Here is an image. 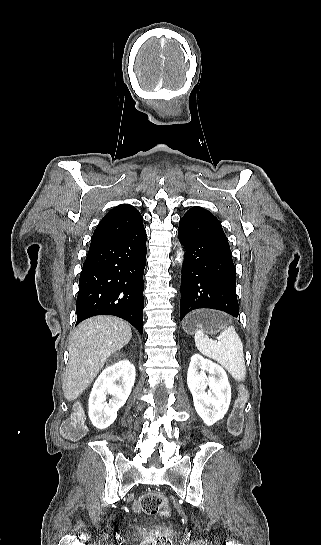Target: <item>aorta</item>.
Masks as SVG:
<instances>
[{"label":"aorta","instance_id":"aorta-1","mask_svg":"<svg viewBox=\"0 0 321 545\" xmlns=\"http://www.w3.org/2000/svg\"><path fill=\"white\" fill-rule=\"evenodd\" d=\"M176 260L181 264L182 263V250L180 248V251L177 252V258Z\"/></svg>","mask_w":321,"mask_h":545}]
</instances>
